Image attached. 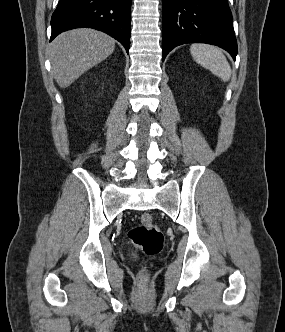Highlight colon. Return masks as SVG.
<instances>
[{"instance_id":"colon-1","label":"colon","mask_w":285,"mask_h":332,"mask_svg":"<svg viewBox=\"0 0 285 332\" xmlns=\"http://www.w3.org/2000/svg\"><path fill=\"white\" fill-rule=\"evenodd\" d=\"M128 237L132 243L145 253L154 255L159 253L164 244V236L155 224L151 214L145 213L141 217V224L132 227L128 231ZM148 277V270L143 268L139 272L141 281H145Z\"/></svg>"}]
</instances>
